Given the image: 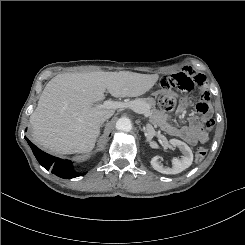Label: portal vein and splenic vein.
Here are the masks:
<instances>
[{"label": "portal vein and splenic vein", "instance_id": "18ae733b", "mask_svg": "<svg viewBox=\"0 0 245 245\" xmlns=\"http://www.w3.org/2000/svg\"><path fill=\"white\" fill-rule=\"evenodd\" d=\"M99 107L110 108V109H118V108H131L137 113L144 114L145 117L150 115V110L148 107L144 108L142 112L138 111V107L133 102H114L111 100L104 101L103 105H99Z\"/></svg>", "mask_w": 245, "mask_h": 245}]
</instances>
